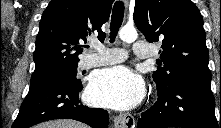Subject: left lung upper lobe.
<instances>
[{"label": "left lung upper lobe", "mask_w": 221, "mask_h": 128, "mask_svg": "<svg viewBox=\"0 0 221 128\" xmlns=\"http://www.w3.org/2000/svg\"><path fill=\"white\" fill-rule=\"evenodd\" d=\"M133 17L147 41H162L153 73L158 92L185 81L211 82L203 19L191 0H136Z\"/></svg>", "instance_id": "obj_1"}]
</instances>
